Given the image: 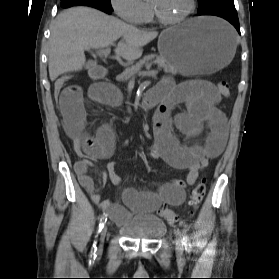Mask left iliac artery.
Returning a JSON list of instances; mask_svg holds the SVG:
<instances>
[{"label":"left iliac artery","instance_id":"obj_1","mask_svg":"<svg viewBox=\"0 0 279 279\" xmlns=\"http://www.w3.org/2000/svg\"><path fill=\"white\" fill-rule=\"evenodd\" d=\"M182 236H183V244H184V246H185V250H186L187 252H190L191 243H190L189 237H188V235H187V233H186L185 230H183Z\"/></svg>","mask_w":279,"mask_h":279}]
</instances>
